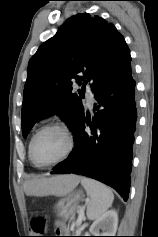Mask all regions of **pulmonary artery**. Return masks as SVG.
<instances>
[{
	"instance_id": "1",
	"label": "pulmonary artery",
	"mask_w": 158,
	"mask_h": 237,
	"mask_svg": "<svg viewBox=\"0 0 158 237\" xmlns=\"http://www.w3.org/2000/svg\"><path fill=\"white\" fill-rule=\"evenodd\" d=\"M89 96L92 97V93H91V92L89 93ZM92 105H93V101H92V99H90V100L88 101V106H89V107H92Z\"/></svg>"
}]
</instances>
